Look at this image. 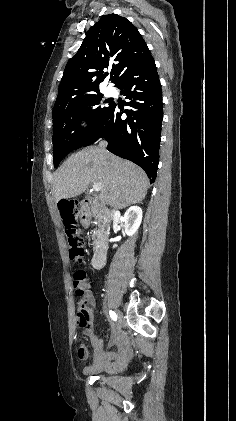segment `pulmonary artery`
Instances as JSON below:
<instances>
[{
  "mask_svg": "<svg viewBox=\"0 0 236 421\" xmlns=\"http://www.w3.org/2000/svg\"><path fill=\"white\" fill-rule=\"evenodd\" d=\"M104 94L107 97H111V96H114L115 95V91L111 87H107L104 90Z\"/></svg>",
  "mask_w": 236,
  "mask_h": 421,
  "instance_id": "1",
  "label": "pulmonary artery"
}]
</instances>
